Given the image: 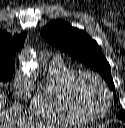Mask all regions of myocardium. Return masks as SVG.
Listing matches in <instances>:
<instances>
[{"label": "myocardium", "instance_id": "obj_1", "mask_svg": "<svg viewBox=\"0 0 125 128\" xmlns=\"http://www.w3.org/2000/svg\"><path fill=\"white\" fill-rule=\"evenodd\" d=\"M84 80H89L93 82L104 95L105 103H104L103 109L98 113H93L89 111L83 105L78 95V87ZM66 91H67V96L73 108L88 120H94V119H99L103 117L107 113L110 107V102H111L110 92L106 87L104 81L97 74L93 72H90V71L76 72L68 82Z\"/></svg>", "mask_w": 125, "mask_h": 128}]
</instances>
